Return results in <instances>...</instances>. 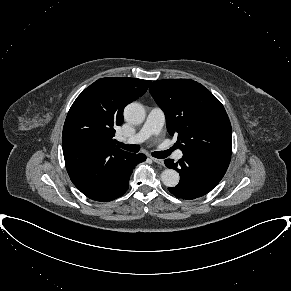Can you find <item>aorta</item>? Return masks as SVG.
Wrapping results in <instances>:
<instances>
[{"label":"aorta","mask_w":291,"mask_h":291,"mask_svg":"<svg viewBox=\"0 0 291 291\" xmlns=\"http://www.w3.org/2000/svg\"><path fill=\"white\" fill-rule=\"evenodd\" d=\"M146 116L144 107L132 102L124 109V118L131 124H140L144 121ZM179 173L174 169H165L161 174V180L167 187H175L179 183Z\"/></svg>","instance_id":"aorta-1"}]
</instances>
